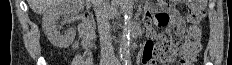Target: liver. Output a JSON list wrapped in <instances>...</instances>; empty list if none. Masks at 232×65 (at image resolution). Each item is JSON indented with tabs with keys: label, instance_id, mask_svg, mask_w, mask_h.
<instances>
[{
	"label": "liver",
	"instance_id": "liver-1",
	"mask_svg": "<svg viewBox=\"0 0 232 65\" xmlns=\"http://www.w3.org/2000/svg\"><path fill=\"white\" fill-rule=\"evenodd\" d=\"M62 0H28L31 9L37 14L47 12L53 6L61 3Z\"/></svg>",
	"mask_w": 232,
	"mask_h": 65
}]
</instances>
